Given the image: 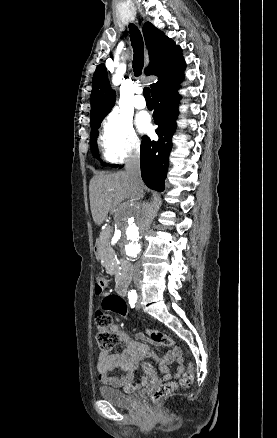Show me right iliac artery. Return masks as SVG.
Returning a JSON list of instances; mask_svg holds the SVG:
<instances>
[{
  "instance_id": "right-iliac-artery-1",
  "label": "right iliac artery",
  "mask_w": 277,
  "mask_h": 438,
  "mask_svg": "<svg viewBox=\"0 0 277 438\" xmlns=\"http://www.w3.org/2000/svg\"><path fill=\"white\" fill-rule=\"evenodd\" d=\"M128 299H129V304H130L131 308H134V307H135V304H136V301H137V295H135V294H130V295L128 296Z\"/></svg>"
}]
</instances>
